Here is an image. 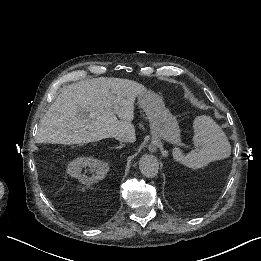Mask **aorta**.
<instances>
[{
  "mask_svg": "<svg viewBox=\"0 0 261 261\" xmlns=\"http://www.w3.org/2000/svg\"><path fill=\"white\" fill-rule=\"evenodd\" d=\"M139 169L144 176L154 178L159 170L158 160L153 155L145 154L140 158Z\"/></svg>",
  "mask_w": 261,
  "mask_h": 261,
  "instance_id": "762f6f07",
  "label": "aorta"
}]
</instances>
